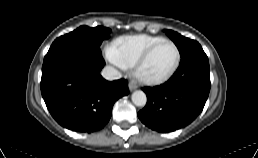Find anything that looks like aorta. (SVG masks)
Returning <instances> with one entry per match:
<instances>
[{
    "label": "aorta",
    "instance_id": "762f6f07",
    "mask_svg": "<svg viewBox=\"0 0 258 158\" xmlns=\"http://www.w3.org/2000/svg\"><path fill=\"white\" fill-rule=\"evenodd\" d=\"M131 99L132 102L138 107H144L147 102L146 94L141 90L134 91L132 93Z\"/></svg>",
    "mask_w": 258,
    "mask_h": 158
}]
</instances>
